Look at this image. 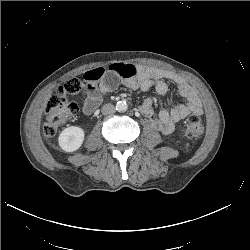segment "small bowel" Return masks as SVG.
Here are the masks:
<instances>
[{"mask_svg":"<svg viewBox=\"0 0 250 250\" xmlns=\"http://www.w3.org/2000/svg\"><path fill=\"white\" fill-rule=\"evenodd\" d=\"M166 80L173 82L185 103L172 109L163 108L154 116L153 100L147 98L140 105V111L150 119L151 124L163 134L171 133L176 124L190 114L201 115L202 103L196 91L181 76L164 69L144 67L134 64L117 63L107 67H97L83 75V112L92 114L101 104L104 96L116 88L119 82L132 89L148 91L155 89L159 95L168 92Z\"/></svg>","mask_w":250,"mask_h":250,"instance_id":"c3829d8e","label":"small bowel"}]
</instances>
